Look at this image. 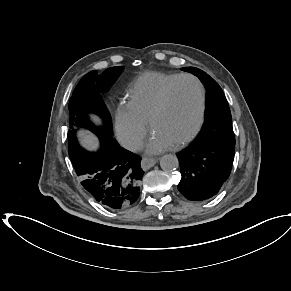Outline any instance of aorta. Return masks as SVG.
I'll return each instance as SVG.
<instances>
[{
  "label": "aorta",
  "mask_w": 291,
  "mask_h": 291,
  "mask_svg": "<svg viewBox=\"0 0 291 291\" xmlns=\"http://www.w3.org/2000/svg\"><path fill=\"white\" fill-rule=\"evenodd\" d=\"M179 166L178 158L173 154H166L160 159V167L164 171H173Z\"/></svg>",
  "instance_id": "762f6f07"
}]
</instances>
